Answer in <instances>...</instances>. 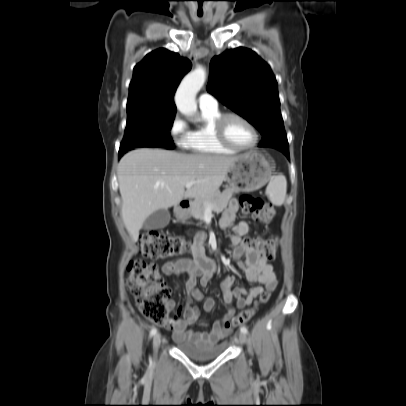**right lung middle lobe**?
<instances>
[{
	"instance_id": "dd1d6c3e",
	"label": "right lung middle lobe",
	"mask_w": 406,
	"mask_h": 406,
	"mask_svg": "<svg viewBox=\"0 0 406 406\" xmlns=\"http://www.w3.org/2000/svg\"><path fill=\"white\" fill-rule=\"evenodd\" d=\"M127 125L119 155L133 148H174L169 130L172 127L175 113L154 111H127Z\"/></svg>"
}]
</instances>
